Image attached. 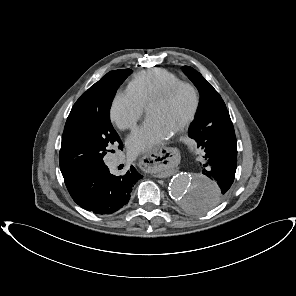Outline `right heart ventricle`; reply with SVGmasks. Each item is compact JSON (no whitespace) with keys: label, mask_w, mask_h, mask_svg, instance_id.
Returning a JSON list of instances; mask_svg holds the SVG:
<instances>
[{"label":"right heart ventricle","mask_w":296,"mask_h":296,"mask_svg":"<svg viewBox=\"0 0 296 296\" xmlns=\"http://www.w3.org/2000/svg\"><path fill=\"white\" fill-rule=\"evenodd\" d=\"M180 81L179 77L167 70L150 69L137 74L128 84L127 92L146 107L151 98Z\"/></svg>","instance_id":"obj_1"}]
</instances>
